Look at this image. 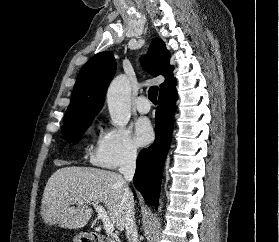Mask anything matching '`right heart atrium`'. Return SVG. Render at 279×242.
Here are the masks:
<instances>
[{
    "label": "right heart atrium",
    "mask_w": 279,
    "mask_h": 242,
    "mask_svg": "<svg viewBox=\"0 0 279 242\" xmlns=\"http://www.w3.org/2000/svg\"><path fill=\"white\" fill-rule=\"evenodd\" d=\"M137 155L138 147L131 133L122 127H109L101 133L90 160L96 166L117 169L134 162Z\"/></svg>",
    "instance_id": "obj_1"
}]
</instances>
